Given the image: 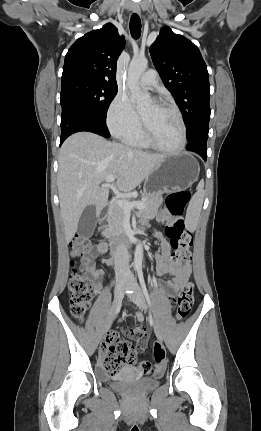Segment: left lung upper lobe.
Instances as JSON below:
<instances>
[{
    "label": "left lung upper lobe",
    "mask_w": 261,
    "mask_h": 431,
    "mask_svg": "<svg viewBox=\"0 0 261 431\" xmlns=\"http://www.w3.org/2000/svg\"><path fill=\"white\" fill-rule=\"evenodd\" d=\"M150 55L182 112L188 141L208 132L209 75L198 47L164 26L150 47Z\"/></svg>",
    "instance_id": "obj_1"
}]
</instances>
